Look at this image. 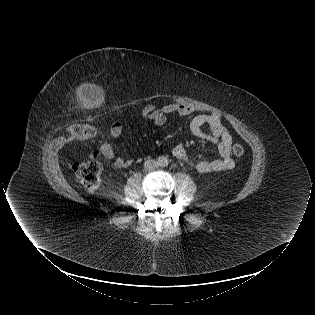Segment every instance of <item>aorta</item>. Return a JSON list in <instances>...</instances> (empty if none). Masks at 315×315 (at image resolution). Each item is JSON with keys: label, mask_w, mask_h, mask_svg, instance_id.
<instances>
[{"label": "aorta", "mask_w": 315, "mask_h": 315, "mask_svg": "<svg viewBox=\"0 0 315 315\" xmlns=\"http://www.w3.org/2000/svg\"><path fill=\"white\" fill-rule=\"evenodd\" d=\"M160 162L164 166L168 164V160L166 158H162Z\"/></svg>", "instance_id": "762f6f07"}]
</instances>
